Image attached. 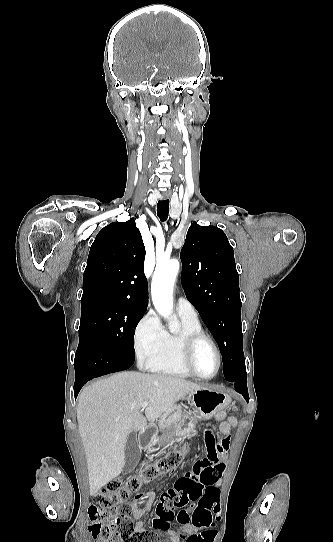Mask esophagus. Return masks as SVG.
Instances as JSON below:
<instances>
[{
  "mask_svg": "<svg viewBox=\"0 0 333 542\" xmlns=\"http://www.w3.org/2000/svg\"><path fill=\"white\" fill-rule=\"evenodd\" d=\"M163 198H169L171 196V192H163L162 193Z\"/></svg>",
  "mask_w": 333,
  "mask_h": 542,
  "instance_id": "1",
  "label": "esophagus"
}]
</instances>
